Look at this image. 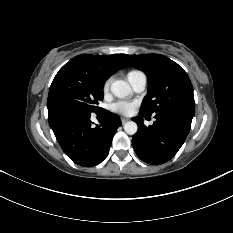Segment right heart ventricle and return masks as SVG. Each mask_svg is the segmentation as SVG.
I'll use <instances>...</instances> for the list:
<instances>
[{
    "label": "right heart ventricle",
    "instance_id": "e07e8e85",
    "mask_svg": "<svg viewBox=\"0 0 233 233\" xmlns=\"http://www.w3.org/2000/svg\"><path fill=\"white\" fill-rule=\"evenodd\" d=\"M141 74H143V73L141 71H139V70H131V71H129L127 73V79H128L129 82H132V80L134 78H136L137 76H139Z\"/></svg>",
    "mask_w": 233,
    "mask_h": 233
}]
</instances>
